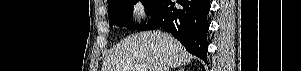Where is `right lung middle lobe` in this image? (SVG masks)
I'll list each match as a JSON object with an SVG mask.
<instances>
[{
    "label": "right lung middle lobe",
    "mask_w": 301,
    "mask_h": 71,
    "mask_svg": "<svg viewBox=\"0 0 301 71\" xmlns=\"http://www.w3.org/2000/svg\"><path fill=\"white\" fill-rule=\"evenodd\" d=\"M140 0H110L108 2L109 25L127 27L128 29H142L143 26L135 25L131 21L132 8ZM147 6L148 14L152 12L156 0H141Z\"/></svg>",
    "instance_id": "right-lung-middle-lobe-1"
}]
</instances>
